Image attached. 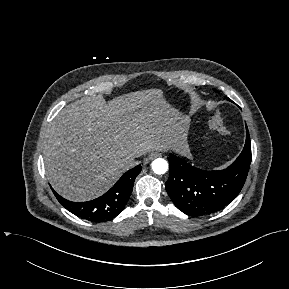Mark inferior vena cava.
Masks as SVG:
<instances>
[{"instance_id": "1", "label": "inferior vena cava", "mask_w": 289, "mask_h": 289, "mask_svg": "<svg viewBox=\"0 0 289 289\" xmlns=\"http://www.w3.org/2000/svg\"><path fill=\"white\" fill-rule=\"evenodd\" d=\"M136 156L129 155L125 158L126 163L131 167H134L138 164V161L135 160Z\"/></svg>"}]
</instances>
